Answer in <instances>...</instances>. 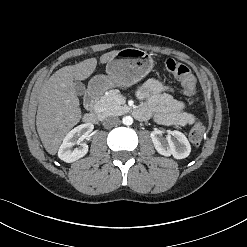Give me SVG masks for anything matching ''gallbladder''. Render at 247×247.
<instances>
[{
    "label": "gallbladder",
    "mask_w": 247,
    "mask_h": 247,
    "mask_svg": "<svg viewBox=\"0 0 247 247\" xmlns=\"http://www.w3.org/2000/svg\"><path fill=\"white\" fill-rule=\"evenodd\" d=\"M74 89L77 95H83L86 91L85 85L80 81L74 82Z\"/></svg>",
    "instance_id": "bac80fb5"
}]
</instances>
